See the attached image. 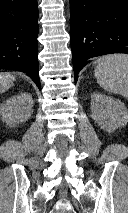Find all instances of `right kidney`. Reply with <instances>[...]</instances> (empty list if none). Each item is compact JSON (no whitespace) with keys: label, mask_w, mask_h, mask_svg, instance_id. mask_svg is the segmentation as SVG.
<instances>
[{"label":"right kidney","mask_w":128,"mask_h":213,"mask_svg":"<svg viewBox=\"0 0 128 213\" xmlns=\"http://www.w3.org/2000/svg\"><path fill=\"white\" fill-rule=\"evenodd\" d=\"M33 112V99L30 93H19L0 105V116L9 126L27 121Z\"/></svg>","instance_id":"1"}]
</instances>
